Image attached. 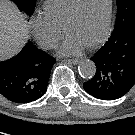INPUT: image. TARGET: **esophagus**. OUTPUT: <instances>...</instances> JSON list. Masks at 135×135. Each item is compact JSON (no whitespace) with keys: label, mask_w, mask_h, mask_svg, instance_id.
I'll return each mask as SVG.
<instances>
[{"label":"esophagus","mask_w":135,"mask_h":135,"mask_svg":"<svg viewBox=\"0 0 135 135\" xmlns=\"http://www.w3.org/2000/svg\"><path fill=\"white\" fill-rule=\"evenodd\" d=\"M63 61L66 62V63L73 64V65H76V64L79 63V59H65Z\"/></svg>","instance_id":"1"}]
</instances>
